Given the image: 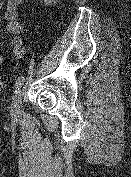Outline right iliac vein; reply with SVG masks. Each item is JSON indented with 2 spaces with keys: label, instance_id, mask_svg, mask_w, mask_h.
I'll return each mask as SVG.
<instances>
[{
  "label": "right iliac vein",
  "instance_id": "1",
  "mask_svg": "<svg viewBox=\"0 0 131 177\" xmlns=\"http://www.w3.org/2000/svg\"><path fill=\"white\" fill-rule=\"evenodd\" d=\"M21 102H22V93L19 91L18 93L15 94L12 101L11 112L13 116H18L20 114Z\"/></svg>",
  "mask_w": 131,
  "mask_h": 177
}]
</instances>
